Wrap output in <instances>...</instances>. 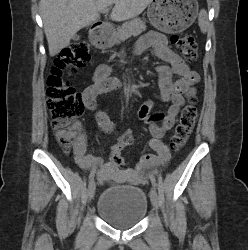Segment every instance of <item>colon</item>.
I'll return each instance as SVG.
<instances>
[{"instance_id":"colon-1","label":"colon","mask_w":248,"mask_h":250,"mask_svg":"<svg viewBox=\"0 0 248 250\" xmlns=\"http://www.w3.org/2000/svg\"><path fill=\"white\" fill-rule=\"evenodd\" d=\"M172 43L180 50L188 62L198 59V46L190 34H173ZM90 61L89 45L85 41L71 44L62 50L54 61L47 78V101L52 119V127L65 152L70 151L76 138L75 120L84 112V102L79 92L71 84L69 77ZM198 110L196 98L190 96L183 107L179 122L172 138V147L181 148L193 131ZM129 145L124 139L115 144L111 150V163L124 168L126 163L121 151Z\"/></svg>"}]
</instances>
